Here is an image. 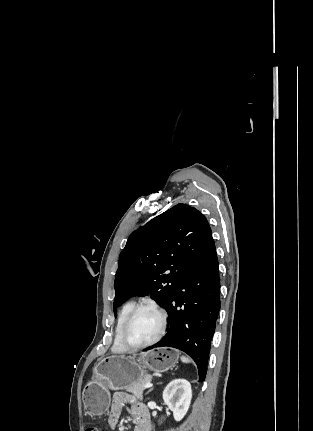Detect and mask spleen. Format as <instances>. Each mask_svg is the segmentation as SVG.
<instances>
[{"label": "spleen", "instance_id": "3e777b00", "mask_svg": "<svg viewBox=\"0 0 313 431\" xmlns=\"http://www.w3.org/2000/svg\"><path fill=\"white\" fill-rule=\"evenodd\" d=\"M181 361L183 363H190V359L188 357H186V356H181Z\"/></svg>", "mask_w": 313, "mask_h": 431}]
</instances>
